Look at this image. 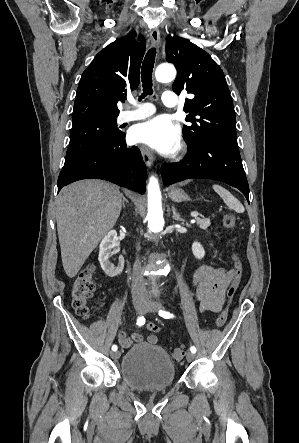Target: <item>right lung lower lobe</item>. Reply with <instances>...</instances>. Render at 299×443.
Listing matches in <instances>:
<instances>
[{
    "mask_svg": "<svg viewBox=\"0 0 299 443\" xmlns=\"http://www.w3.org/2000/svg\"><path fill=\"white\" fill-rule=\"evenodd\" d=\"M88 178L107 180L143 194L146 166L140 150L136 146L127 147L122 133L115 141L65 163L58 177V192L69 183Z\"/></svg>",
    "mask_w": 299,
    "mask_h": 443,
    "instance_id": "obj_1",
    "label": "right lung lower lobe"
}]
</instances>
